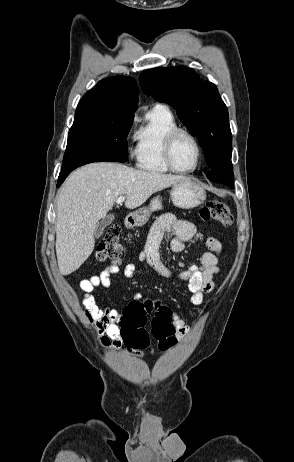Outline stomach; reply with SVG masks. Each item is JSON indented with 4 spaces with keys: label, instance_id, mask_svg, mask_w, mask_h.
Listing matches in <instances>:
<instances>
[{
    "label": "stomach",
    "instance_id": "stomach-1",
    "mask_svg": "<svg viewBox=\"0 0 294 462\" xmlns=\"http://www.w3.org/2000/svg\"><path fill=\"white\" fill-rule=\"evenodd\" d=\"M170 196L176 207L190 209L204 202L206 192L191 179L185 178L172 186ZM161 209L162 200L160 197H155L148 207L140 208L131 214V222L134 226H143L149 220L152 212Z\"/></svg>",
    "mask_w": 294,
    "mask_h": 462
}]
</instances>
